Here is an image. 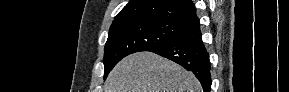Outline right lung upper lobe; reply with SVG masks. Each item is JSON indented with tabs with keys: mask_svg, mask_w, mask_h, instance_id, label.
Wrapping results in <instances>:
<instances>
[{
	"mask_svg": "<svg viewBox=\"0 0 289 92\" xmlns=\"http://www.w3.org/2000/svg\"><path fill=\"white\" fill-rule=\"evenodd\" d=\"M135 18H153L187 26L198 20L192 0H131L113 24Z\"/></svg>",
	"mask_w": 289,
	"mask_h": 92,
	"instance_id": "1",
	"label": "right lung upper lobe"
}]
</instances>
